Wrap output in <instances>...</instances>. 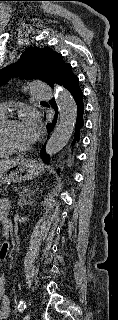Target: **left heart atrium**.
I'll return each mask as SVG.
<instances>
[{
    "instance_id": "left-heart-atrium-1",
    "label": "left heart atrium",
    "mask_w": 118,
    "mask_h": 320,
    "mask_svg": "<svg viewBox=\"0 0 118 320\" xmlns=\"http://www.w3.org/2000/svg\"><path fill=\"white\" fill-rule=\"evenodd\" d=\"M26 139L29 143L35 142L41 133L39 117L35 113L29 114L21 123Z\"/></svg>"
}]
</instances>
